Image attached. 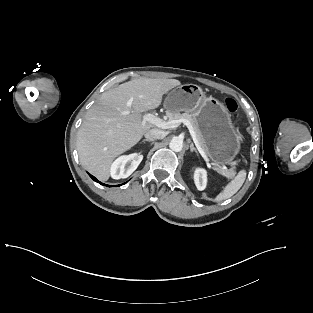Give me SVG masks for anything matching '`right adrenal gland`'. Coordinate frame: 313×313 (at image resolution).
Returning <instances> with one entry per match:
<instances>
[{"instance_id":"right-adrenal-gland-1","label":"right adrenal gland","mask_w":313,"mask_h":313,"mask_svg":"<svg viewBox=\"0 0 313 313\" xmlns=\"http://www.w3.org/2000/svg\"><path fill=\"white\" fill-rule=\"evenodd\" d=\"M147 141H148V142H152L151 140H148V139H143V140H142L143 143H145V142H147Z\"/></svg>"}]
</instances>
